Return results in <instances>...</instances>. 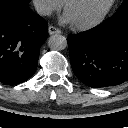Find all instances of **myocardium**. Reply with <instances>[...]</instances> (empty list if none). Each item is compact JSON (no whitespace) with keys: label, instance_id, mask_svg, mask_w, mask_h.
Returning <instances> with one entry per match:
<instances>
[{"label":"myocardium","instance_id":"myocardium-1","mask_svg":"<svg viewBox=\"0 0 128 128\" xmlns=\"http://www.w3.org/2000/svg\"><path fill=\"white\" fill-rule=\"evenodd\" d=\"M76 0H66L64 3V11L67 12L68 8L75 2ZM116 0H109L104 9L93 19L84 22V23H74V26L79 30H88L97 25H99L108 15L115 4Z\"/></svg>","mask_w":128,"mask_h":128}]
</instances>
